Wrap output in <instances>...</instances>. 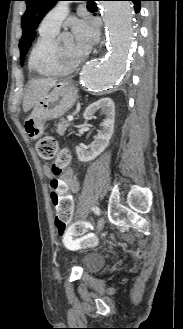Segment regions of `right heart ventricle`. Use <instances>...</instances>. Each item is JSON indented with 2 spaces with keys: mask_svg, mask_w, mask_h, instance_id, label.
Masks as SVG:
<instances>
[{
  "mask_svg": "<svg viewBox=\"0 0 183 329\" xmlns=\"http://www.w3.org/2000/svg\"><path fill=\"white\" fill-rule=\"evenodd\" d=\"M56 34L54 32L39 31V35L29 54L28 65L30 70L42 77L60 75L54 64Z\"/></svg>",
  "mask_w": 183,
  "mask_h": 329,
  "instance_id": "e07e8e85",
  "label": "right heart ventricle"
}]
</instances>
